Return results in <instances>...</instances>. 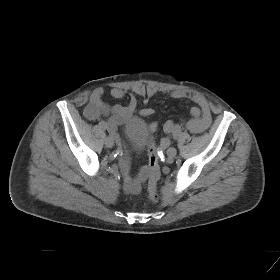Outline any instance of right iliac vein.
<instances>
[{
  "mask_svg": "<svg viewBox=\"0 0 280 280\" xmlns=\"http://www.w3.org/2000/svg\"><path fill=\"white\" fill-rule=\"evenodd\" d=\"M105 145L106 147L108 148H112L114 146V139L111 137V136H108L106 139H105Z\"/></svg>",
  "mask_w": 280,
  "mask_h": 280,
  "instance_id": "1",
  "label": "right iliac vein"
}]
</instances>
